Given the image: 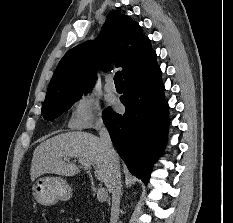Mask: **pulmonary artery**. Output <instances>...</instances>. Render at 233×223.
I'll return each instance as SVG.
<instances>
[{
  "instance_id": "pulmonary-artery-1",
  "label": "pulmonary artery",
  "mask_w": 233,
  "mask_h": 223,
  "mask_svg": "<svg viewBox=\"0 0 233 223\" xmlns=\"http://www.w3.org/2000/svg\"><path fill=\"white\" fill-rule=\"evenodd\" d=\"M106 89L110 93H113V92L116 91V87H115V85L113 83V77L112 76H108V78H107Z\"/></svg>"
}]
</instances>
